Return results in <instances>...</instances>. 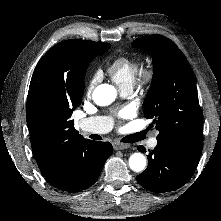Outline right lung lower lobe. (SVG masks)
I'll return each instance as SVG.
<instances>
[{
    "label": "right lung lower lobe",
    "mask_w": 221,
    "mask_h": 221,
    "mask_svg": "<svg viewBox=\"0 0 221 221\" xmlns=\"http://www.w3.org/2000/svg\"><path fill=\"white\" fill-rule=\"evenodd\" d=\"M111 153L112 145L109 142L91 140L85 142L72 154L65 179L52 185L69 193L90 187L97 181Z\"/></svg>",
    "instance_id": "obj_1"
}]
</instances>
